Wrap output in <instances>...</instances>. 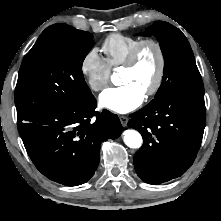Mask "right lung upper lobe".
Segmentation results:
<instances>
[{
	"instance_id": "obj_1",
	"label": "right lung upper lobe",
	"mask_w": 221,
	"mask_h": 221,
	"mask_svg": "<svg viewBox=\"0 0 221 221\" xmlns=\"http://www.w3.org/2000/svg\"><path fill=\"white\" fill-rule=\"evenodd\" d=\"M78 30L62 23L54 24L48 28H46L43 33H50V32H69V33H75Z\"/></svg>"
}]
</instances>
